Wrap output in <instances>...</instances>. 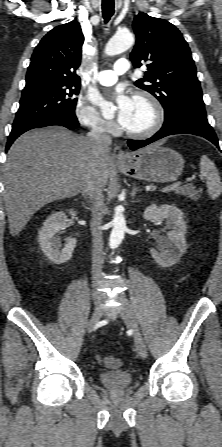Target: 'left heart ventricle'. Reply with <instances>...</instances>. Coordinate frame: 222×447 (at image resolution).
<instances>
[{
  "label": "left heart ventricle",
  "instance_id": "1",
  "mask_svg": "<svg viewBox=\"0 0 222 447\" xmlns=\"http://www.w3.org/2000/svg\"><path fill=\"white\" fill-rule=\"evenodd\" d=\"M153 122V111L144 101L133 100L132 112L125 128L129 130H143Z\"/></svg>",
  "mask_w": 222,
  "mask_h": 447
}]
</instances>
